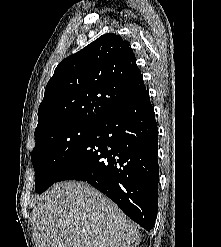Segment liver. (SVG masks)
I'll list each match as a JSON object with an SVG mask.
<instances>
[{
  "instance_id": "1",
  "label": "liver",
  "mask_w": 221,
  "mask_h": 247,
  "mask_svg": "<svg viewBox=\"0 0 221 247\" xmlns=\"http://www.w3.org/2000/svg\"><path fill=\"white\" fill-rule=\"evenodd\" d=\"M32 220L37 247H131L137 227L101 192L83 182L54 184L37 199Z\"/></svg>"
}]
</instances>
